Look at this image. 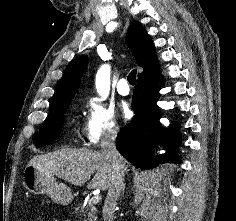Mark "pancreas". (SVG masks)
I'll use <instances>...</instances> for the list:
<instances>
[{
  "instance_id": "cf45deb5",
  "label": "pancreas",
  "mask_w": 236,
  "mask_h": 221,
  "mask_svg": "<svg viewBox=\"0 0 236 221\" xmlns=\"http://www.w3.org/2000/svg\"><path fill=\"white\" fill-rule=\"evenodd\" d=\"M75 213L79 216V221H97V208L92 204L75 207Z\"/></svg>"
}]
</instances>
